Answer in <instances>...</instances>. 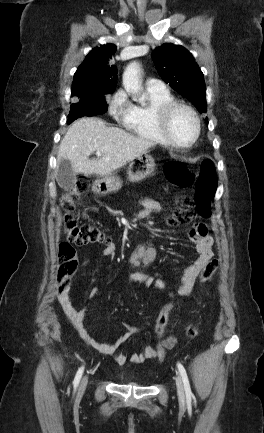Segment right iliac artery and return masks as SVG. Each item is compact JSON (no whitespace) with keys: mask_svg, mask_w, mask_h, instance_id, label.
<instances>
[{"mask_svg":"<svg viewBox=\"0 0 264 433\" xmlns=\"http://www.w3.org/2000/svg\"><path fill=\"white\" fill-rule=\"evenodd\" d=\"M83 372H84V367L82 366L77 371L76 376H75L74 381H73V385H74V389L75 390H76V388H77V386H78V384L80 382V379L82 377Z\"/></svg>","mask_w":264,"mask_h":433,"instance_id":"1","label":"right iliac artery"}]
</instances>
